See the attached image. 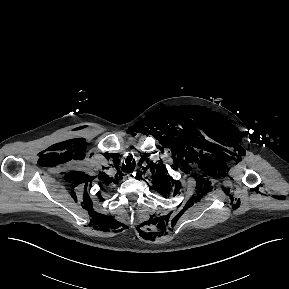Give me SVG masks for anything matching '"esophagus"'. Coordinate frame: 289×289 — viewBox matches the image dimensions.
<instances>
[{
  "instance_id": "esophagus-1",
  "label": "esophagus",
  "mask_w": 289,
  "mask_h": 289,
  "mask_svg": "<svg viewBox=\"0 0 289 289\" xmlns=\"http://www.w3.org/2000/svg\"><path fill=\"white\" fill-rule=\"evenodd\" d=\"M133 175H134V173H129V174H128V178H132Z\"/></svg>"
}]
</instances>
